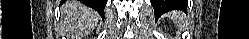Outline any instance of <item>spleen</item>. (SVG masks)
Listing matches in <instances>:
<instances>
[{
	"mask_svg": "<svg viewBox=\"0 0 249 39\" xmlns=\"http://www.w3.org/2000/svg\"><path fill=\"white\" fill-rule=\"evenodd\" d=\"M170 18H171L172 20H177L178 18H180V14L177 13V12H172V13L170 14Z\"/></svg>",
	"mask_w": 249,
	"mask_h": 39,
	"instance_id": "obj_1",
	"label": "spleen"
}]
</instances>
